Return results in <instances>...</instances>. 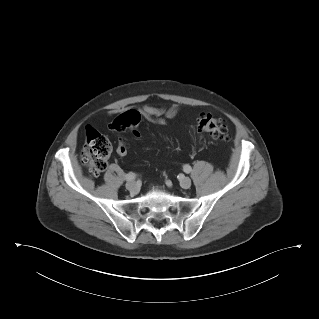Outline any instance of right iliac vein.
<instances>
[{
  "instance_id": "1",
  "label": "right iliac vein",
  "mask_w": 319,
  "mask_h": 319,
  "mask_svg": "<svg viewBox=\"0 0 319 319\" xmlns=\"http://www.w3.org/2000/svg\"><path fill=\"white\" fill-rule=\"evenodd\" d=\"M126 188L131 192V193H137L139 190V186L135 181H129L126 183Z\"/></svg>"
}]
</instances>
